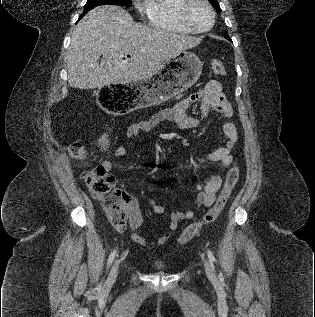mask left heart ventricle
I'll list each match as a JSON object with an SVG mask.
<instances>
[{"label":"left heart ventricle","mask_w":315,"mask_h":317,"mask_svg":"<svg viewBox=\"0 0 315 317\" xmlns=\"http://www.w3.org/2000/svg\"><path fill=\"white\" fill-rule=\"evenodd\" d=\"M189 19L198 29H203L210 24V13L207 7L201 2H195L189 9Z\"/></svg>","instance_id":"obj_1"}]
</instances>
